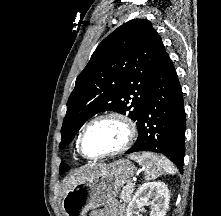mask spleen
Segmentation results:
<instances>
[{"label":"spleen","mask_w":221,"mask_h":216,"mask_svg":"<svg viewBox=\"0 0 221 216\" xmlns=\"http://www.w3.org/2000/svg\"><path fill=\"white\" fill-rule=\"evenodd\" d=\"M130 159L143 167L146 180L156 179L165 173L171 175L176 173L175 167L165 157L144 152L142 154H132L130 155Z\"/></svg>","instance_id":"1"}]
</instances>
